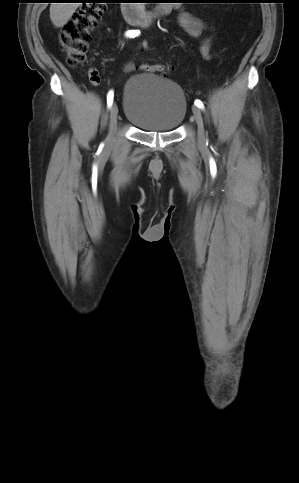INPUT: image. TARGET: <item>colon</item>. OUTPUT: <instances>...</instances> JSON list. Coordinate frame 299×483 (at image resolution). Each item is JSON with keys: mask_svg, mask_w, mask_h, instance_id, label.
Instances as JSON below:
<instances>
[{"mask_svg": "<svg viewBox=\"0 0 299 483\" xmlns=\"http://www.w3.org/2000/svg\"><path fill=\"white\" fill-rule=\"evenodd\" d=\"M104 3V0H93L76 11L64 25L60 34V43L67 53L69 65L77 66L86 60L92 31L106 8ZM139 69L161 76H166L169 71V68L164 65L147 62L140 64Z\"/></svg>", "mask_w": 299, "mask_h": 483, "instance_id": "colon-1", "label": "colon"}]
</instances>
